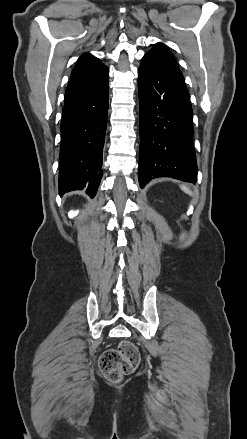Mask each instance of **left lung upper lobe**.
I'll return each instance as SVG.
<instances>
[{
  "label": "left lung upper lobe",
  "mask_w": 247,
  "mask_h": 439,
  "mask_svg": "<svg viewBox=\"0 0 247 439\" xmlns=\"http://www.w3.org/2000/svg\"><path fill=\"white\" fill-rule=\"evenodd\" d=\"M143 60L155 65L160 70L175 78L176 80L185 83L184 77L177 65L173 54L163 43L155 44L153 48L144 55Z\"/></svg>",
  "instance_id": "5c2ea615"
}]
</instances>
